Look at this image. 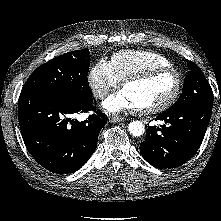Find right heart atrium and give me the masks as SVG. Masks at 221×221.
<instances>
[{"mask_svg":"<svg viewBox=\"0 0 221 221\" xmlns=\"http://www.w3.org/2000/svg\"><path fill=\"white\" fill-rule=\"evenodd\" d=\"M119 82L110 63L106 60L97 61L89 70L88 84L93 95L98 99L105 98L119 85Z\"/></svg>","mask_w":221,"mask_h":221,"instance_id":"obj_1","label":"right heart atrium"}]
</instances>
